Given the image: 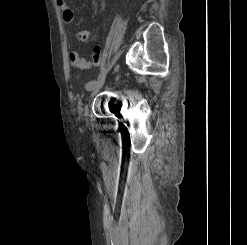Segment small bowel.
<instances>
[{"label":"small bowel","instance_id":"obj_1","mask_svg":"<svg viewBox=\"0 0 247 245\" xmlns=\"http://www.w3.org/2000/svg\"><path fill=\"white\" fill-rule=\"evenodd\" d=\"M58 7L62 11L63 19L66 23H72L74 20L73 11L68 7L67 0H56ZM95 32L88 31H79L76 33V39L78 41H86L92 36H94ZM70 63L77 68L80 69H88L92 65H99L101 61L100 48L96 47L94 50V55L92 60L85 59L80 56L77 51H72L69 55Z\"/></svg>","mask_w":247,"mask_h":245}]
</instances>
